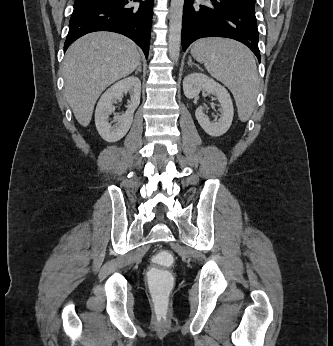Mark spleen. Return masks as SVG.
<instances>
[{
    "mask_svg": "<svg viewBox=\"0 0 333 346\" xmlns=\"http://www.w3.org/2000/svg\"><path fill=\"white\" fill-rule=\"evenodd\" d=\"M191 55L232 92L239 119L246 122L253 113L259 77L252 52L241 43L224 38L198 40Z\"/></svg>",
    "mask_w": 333,
    "mask_h": 346,
    "instance_id": "3e777b00",
    "label": "spleen"
}]
</instances>
